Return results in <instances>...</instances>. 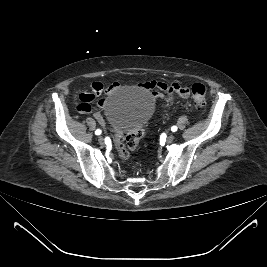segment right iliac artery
<instances>
[{"instance_id":"obj_1","label":"right iliac artery","mask_w":267,"mask_h":267,"mask_svg":"<svg viewBox=\"0 0 267 267\" xmlns=\"http://www.w3.org/2000/svg\"><path fill=\"white\" fill-rule=\"evenodd\" d=\"M101 132H102V131H101L100 129H97V130L95 131V134H96V135H100Z\"/></svg>"}]
</instances>
